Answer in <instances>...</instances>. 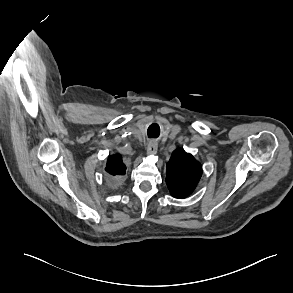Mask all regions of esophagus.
Masks as SVG:
<instances>
[{
    "label": "esophagus",
    "mask_w": 293,
    "mask_h": 293,
    "mask_svg": "<svg viewBox=\"0 0 293 293\" xmlns=\"http://www.w3.org/2000/svg\"><path fill=\"white\" fill-rule=\"evenodd\" d=\"M158 144L155 140H150L147 145V154L154 155L157 153Z\"/></svg>",
    "instance_id": "obj_1"
}]
</instances>
